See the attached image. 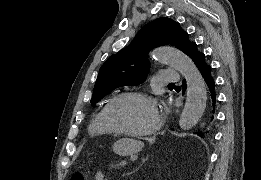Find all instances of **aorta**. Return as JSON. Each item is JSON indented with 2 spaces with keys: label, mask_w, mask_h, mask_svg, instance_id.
<instances>
[{
  "label": "aorta",
  "mask_w": 261,
  "mask_h": 180,
  "mask_svg": "<svg viewBox=\"0 0 261 180\" xmlns=\"http://www.w3.org/2000/svg\"><path fill=\"white\" fill-rule=\"evenodd\" d=\"M152 56L156 61L168 63L185 78L187 97L179 126L182 130L193 128L202 117L207 102L206 85L201 73L187 55L173 47L157 48Z\"/></svg>",
  "instance_id": "762f6f07"
}]
</instances>
